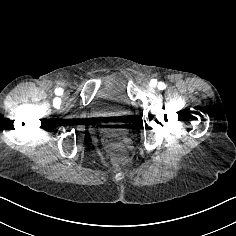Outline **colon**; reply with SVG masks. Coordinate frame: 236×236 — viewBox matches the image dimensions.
<instances>
[{
	"label": "colon",
	"instance_id": "5ec220e1",
	"mask_svg": "<svg viewBox=\"0 0 236 236\" xmlns=\"http://www.w3.org/2000/svg\"><path fill=\"white\" fill-rule=\"evenodd\" d=\"M106 149L109 156L118 163H125L128 159L127 151L124 145L119 141L108 140Z\"/></svg>",
	"mask_w": 236,
	"mask_h": 236
}]
</instances>
